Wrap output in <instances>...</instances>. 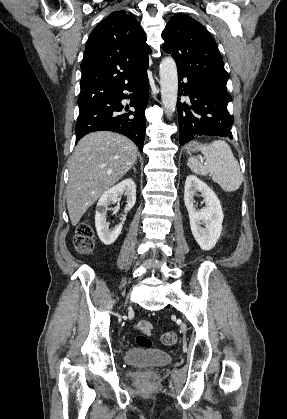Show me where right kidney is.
Wrapping results in <instances>:
<instances>
[{
  "mask_svg": "<svg viewBox=\"0 0 287 419\" xmlns=\"http://www.w3.org/2000/svg\"><path fill=\"white\" fill-rule=\"evenodd\" d=\"M122 194L127 196V204L124 210L127 213L136 202V185L130 178L123 180L104 192L97 203L95 226L101 242L105 245L113 244L122 231V224H118L110 230L109 224L106 221L108 205L110 203H116L119 195Z\"/></svg>",
  "mask_w": 287,
  "mask_h": 419,
  "instance_id": "ca27d5eb",
  "label": "right kidney"
}]
</instances>
